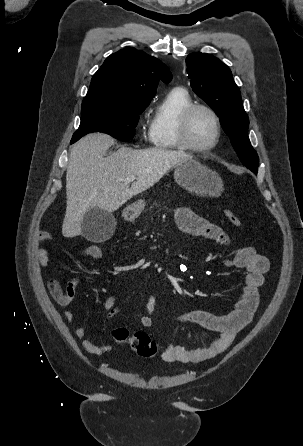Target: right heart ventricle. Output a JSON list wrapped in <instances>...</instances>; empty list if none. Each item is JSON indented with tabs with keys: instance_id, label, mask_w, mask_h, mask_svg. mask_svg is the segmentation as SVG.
I'll list each match as a JSON object with an SVG mask.
<instances>
[{
	"instance_id": "e07e8e85",
	"label": "right heart ventricle",
	"mask_w": 303,
	"mask_h": 446,
	"mask_svg": "<svg viewBox=\"0 0 303 446\" xmlns=\"http://www.w3.org/2000/svg\"><path fill=\"white\" fill-rule=\"evenodd\" d=\"M193 102L189 92L181 87L171 89L155 108L149 128L151 144L159 149H183L178 140L181 113Z\"/></svg>"
}]
</instances>
